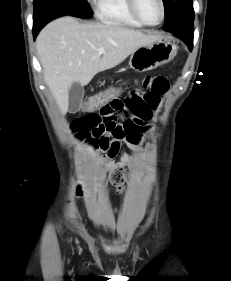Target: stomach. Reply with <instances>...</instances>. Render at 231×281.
<instances>
[{
    "label": "stomach",
    "instance_id": "0dacf381",
    "mask_svg": "<svg viewBox=\"0 0 231 281\" xmlns=\"http://www.w3.org/2000/svg\"><path fill=\"white\" fill-rule=\"evenodd\" d=\"M177 53V46L170 37H161L152 44L144 45L130 55L129 65L137 72L155 69L170 62Z\"/></svg>",
    "mask_w": 231,
    "mask_h": 281
}]
</instances>
